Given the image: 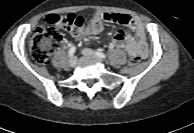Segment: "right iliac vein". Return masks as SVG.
Returning <instances> with one entry per match:
<instances>
[{
	"instance_id": "right-iliac-vein-1",
	"label": "right iliac vein",
	"mask_w": 194,
	"mask_h": 133,
	"mask_svg": "<svg viewBox=\"0 0 194 133\" xmlns=\"http://www.w3.org/2000/svg\"><path fill=\"white\" fill-rule=\"evenodd\" d=\"M76 62H77V58H76V56H72V57H70V59H69V65L71 66V67H73V66H75L76 65Z\"/></svg>"
}]
</instances>
